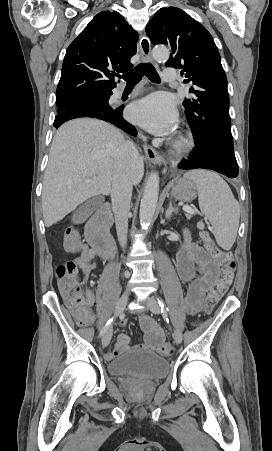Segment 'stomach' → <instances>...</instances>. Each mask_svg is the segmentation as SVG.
<instances>
[{
  "mask_svg": "<svg viewBox=\"0 0 272 451\" xmlns=\"http://www.w3.org/2000/svg\"><path fill=\"white\" fill-rule=\"evenodd\" d=\"M197 194L196 184L190 182V180H184V178L177 180L171 190L172 198L181 200V202H192V200L197 198Z\"/></svg>",
  "mask_w": 272,
  "mask_h": 451,
  "instance_id": "0dacf381",
  "label": "stomach"
}]
</instances>
